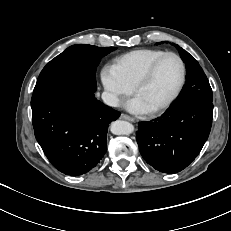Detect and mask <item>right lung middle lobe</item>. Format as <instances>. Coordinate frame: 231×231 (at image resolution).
Masks as SVG:
<instances>
[{
	"mask_svg": "<svg viewBox=\"0 0 231 231\" xmlns=\"http://www.w3.org/2000/svg\"><path fill=\"white\" fill-rule=\"evenodd\" d=\"M114 49L86 44L67 48L43 68L33 94L65 86H78L95 92L97 66L101 58Z\"/></svg>",
	"mask_w": 231,
	"mask_h": 231,
	"instance_id": "right-lung-middle-lobe-1",
	"label": "right lung middle lobe"
}]
</instances>
